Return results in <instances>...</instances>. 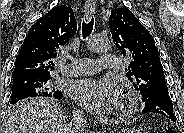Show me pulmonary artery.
Segmentation results:
<instances>
[{"label":"pulmonary artery","instance_id":"pulmonary-artery-1","mask_svg":"<svg viewBox=\"0 0 184 133\" xmlns=\"http://www.w3.org/2000/svg\"><path fill=\"white\" fill-rule=\"evenodd\" d=\"M118 63V57L113 54H104L99 62L89 58H75L72 62L60 69L61 74L65 76H77L93 74L100 69H114Z\"/></svg>","mask_w":184,"mask_h":133}]
</instances>
